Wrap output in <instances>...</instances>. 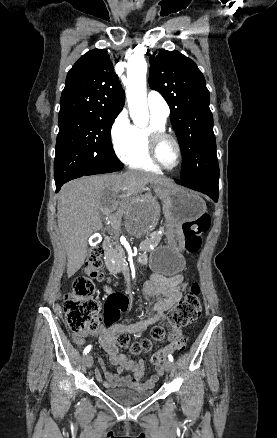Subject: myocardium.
<instances>
[{
  "label": "myocardium",
  "mask_w": 277,
  "mask_h": 438,
  "mask_svg": "<svg viewBox=\"0 0 277 438\" xmlns=\"http://www.w3.org/2000/svg\"><path fill=\"white\" fill-rule=\"evenodd\" d=\"M165 140L173 142L176 147L177 159L172 167L166 166L160 159V147ZM146 141L151 159L160 169L172 171L179 166L182 158V147L175 136L164 130L151 127L147 130Z\"/></svg>",
  "instance_id": "1"
}]
</instances>
